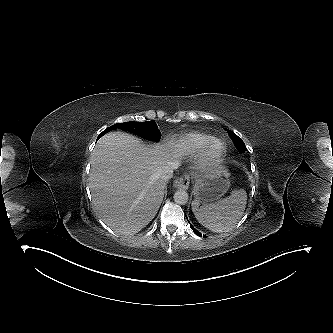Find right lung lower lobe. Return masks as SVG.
<instances>
[{"label": "right lung lower lobe", "instance_id": "1", "mask_svg": "<svg viewBox=\"0 0 333 333\" xmlns=\"http://www.w3.org/2000/svg\"><path fill=\"white\" fill-rule=\"evenodd\" d=\"M105 133H107L105 130L98 136L97 140L102 137Z\"/></svg>", "mask_w": 333, "mask_h": 333}]
</instances>
